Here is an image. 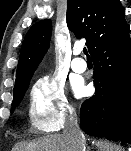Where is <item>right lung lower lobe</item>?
<instances>
[{
	"mask_svg": "<svg viewBox=\"0 0 131 151\" xmlns=\"http://www.w3.org/2000/svg\"><path fill=\"white\" fill-rule=\"evenodd\" d=\"M95 94L80 109L90 136L131 142V38L129 30L91 53Z\"/></svg>",
	"mask_w": 131,
	"mask_h": 151,
	"instance_id": "1",
	"label": "right lung lower lobe"
}]
</instances>
